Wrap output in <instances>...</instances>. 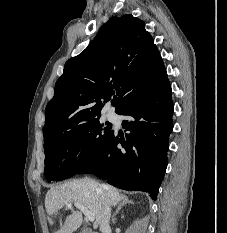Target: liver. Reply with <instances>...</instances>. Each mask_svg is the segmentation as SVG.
Listing matches in <instances>:
<instances>
[{
    "mask_svg": "<svg viewBox=\"0 0 227 233\" xmlns=\"http://www.w3.org/2000/svg\"><path fill=\"white\" fill-rule=\"evenodd\" d=\"M103 195H105L110 206L121 204L125 198L116 188L90 178L72 180L52 187L45 197V208L49 215L50 225H55V218L66 203H79L94 213L95 222L93 228H98L102 219ZM82 222V213L73 211L72 214L66 216L60 229L56 230L54 228V233H73L81 226Z\"/></svg>",
    "mask_w": 227,
    "mask_h": 233,
    "instance_id": "1",
    "label": "liver"
}]
</instances>
